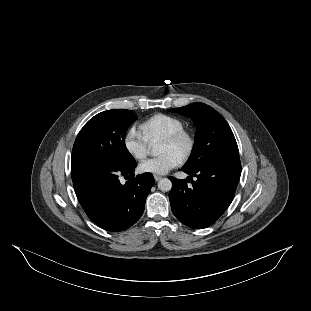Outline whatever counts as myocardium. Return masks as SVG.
<instances>
[{"label":"myocardium","mask_w":311,"mask_h":311,"mask_svg":"<svg viewBox=\"0 0 311 311\" xmlns=\"http://www.w3.org/2000/svg\"><path fill=\"white\" fill-rule=\"evenodd\" d=\"M163 141L172 145H181L185 143L186 147L181 155V160L183 161H188L193 157L198 143L195 132L187 127L168 135Z\"/></svg>","instance_id":"1"}]
</instances>
